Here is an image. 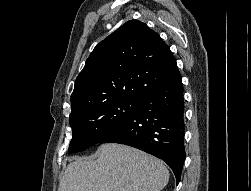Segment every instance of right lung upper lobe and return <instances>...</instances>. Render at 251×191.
<instances>
[{
  "mask_svg": "<svg viewBox=\"0 0 251 191\" xmlns=\"http://www.w3.org/2000/svg\"><path fill=\"white\" fill-rule=\"evenodd\" d=\"M179 75L159 34L131 20L94 48L75 81L71 108L114 100L137 102Z\"/></svg>",
  "mask_w": 251,
  "mask_h": 191,
  "instance_id": "obj_1",
  "label": "right lung upper lobe"
}]
</instances>
